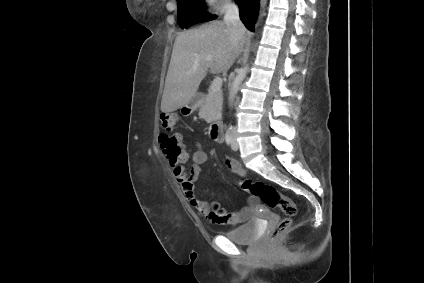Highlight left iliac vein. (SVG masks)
Returning a JSON list of instances; mask_svg holds the SVG:
<instances>
[{
    "mask_svg": "<svg viewBox=\"0 0 424 283\" xmlns=\"http://www.w3.org/2000/svg\"><path fill=\"white\" fill-rule=\"evenodd\" d=\"M231 148L234 151L238 150V148H239V145H238V142H237L236 134L235 133L232 134Z\"/></svg>",
    "mask_w": 424,
    "mask_h": 283,
    "instance_id": "4c4485c4",
    "label": "left iliac vein"
}]
</instances>
